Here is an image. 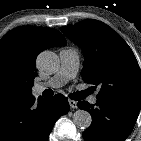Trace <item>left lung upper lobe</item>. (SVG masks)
Listing matches in <instances>:
<instances>
[{
  "instance_id": "1",
  "label": "left lung upper lobe",
  "mask_w": 141,
  "mask_h": 141,
  "mask_svg": "<svg viewBox=\"0 0 141 141\" xmlns=\"http://www.w3.org/2000/svg\"><path fill=\"white\" fill-rule=\"evenodd\" d=\"M84 54V82L100 86L97 100L141 105V72L128 44L106 24L89 19L62 27Z\"/></svg>"
}]
</instances>
